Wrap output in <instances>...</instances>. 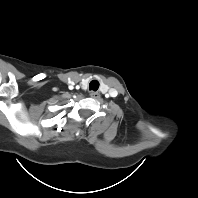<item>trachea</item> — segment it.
I'll use <instances>...</instances> for the list:
<instances>
[{
	"instance_id": "3493384b",
	"label": "trachea",
	"mask_w": 198,
	"mask_h": 198,
	"mask_svg": "<svg viewBox=\"0 0 198 198\" xmlns=\"http://www.w3.org/2000/svg\"><path fill=\"white\" fill-rule=\"evenodd\" d=\"M99 88V82L97 80H92L89 84V90L97 91Z\"/></svg>"
}]
</instances>
